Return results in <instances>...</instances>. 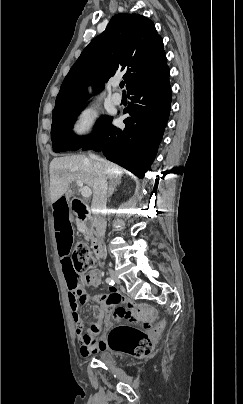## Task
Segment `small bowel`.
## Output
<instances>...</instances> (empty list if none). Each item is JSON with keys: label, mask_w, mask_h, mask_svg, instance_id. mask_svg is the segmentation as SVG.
<instances>
[{"label": "small bowel", "mask_w": 243, "mask_h": 404, "mask_svg": "<svg viewBox=\"0 0 243 404\" xmlns=\"http://www.w3.org/2000/svg\"><path fill=\"white\" fill-rule=\"evenodd\" d=\"M53 211V226L55 232L56 243L59 256L61 258L62 270L68 287V300L72 320L75 324V333L80 345V353L83 357H87L100 350L107 348V342L104 337L97 338L101 332V317L104 314L110 315L113 319H128L136 318L133 310L134 304L128 302L126 306H120L122 300L121 294L115 289H110L107 295L97 296L96 301L100 303L97 322L93 323L89 331H84L83 322L78 314L79 304L87 303L90 300L83 286H74L77 277L72 270L71 245L73 241L72 225L68 216L67 201L64 197L57 198L52 205ZM101 282V273L99 270H93L88 279L84 282L86 285L97 287ZM112 324L111 318L105 321L104 329H108Z\"/></svg>", "instance_id": "small-bowel-1"}]
</instances>
